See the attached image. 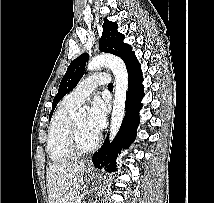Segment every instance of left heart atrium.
I'll use <instances>...</instances> for the list:
<instances>
[{
	"mask_svg": "<svg viewBox=\"0 0 214 203\" xmlns=\"http://www.w3.org/2000/svg\"><path fill=\"white\" fill-rule=\"evenodd\" d=\"M106 111L105 102L99 96L94 97L86 119L87 128L91 132L98 134L104 128L106 123Z\"/></svg>",
	"mask_w": 214,
	"mask_h": 203,
	"instance_id": "obj_1",
	"label": "left heart atrium"
}]
</instances>
